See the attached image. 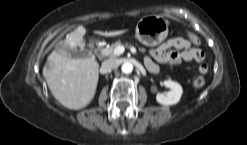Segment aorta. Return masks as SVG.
Returning <instances> with one entry per match:
<instances>
[{"mask_svg": "<svg viewBox=\"0 0 247 145\" xmlns=\"http://www.w3.org/2000/svg\"><path fill=\"white\" fill-rule=\"evenodd\" d=\"M121 70L123 73L125 74H129L132 72L133 70V65L130 63V62H125L122 67H121Z\"/></svg>", "mask_w": 247, "mask_h": 145, "instance_id": "aorta-1", "label": "aorta"}]
</instances>
